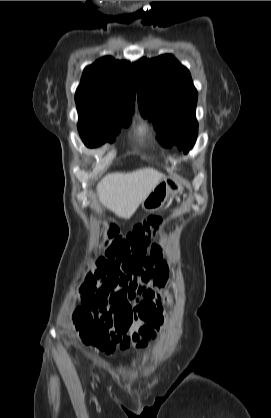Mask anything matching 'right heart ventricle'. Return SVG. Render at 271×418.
<instances>
[{"instance_id": "obj_1", "label": "right heart ventricle", "mask_w": 271, "mask_h": 418, "mask_svg": "<svg viewBox=\"0 0 271 418\" xmlns=\"http://www.w3.org/2000/svg\"><path fill=\"white\" fill-rule=\"evenodd\" d=\"M138 136L142 141H145L150 136L149 127L145 124H142L138 128Z\"/></svg>"}]
</instances>
